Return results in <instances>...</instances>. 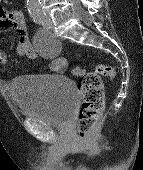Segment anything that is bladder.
Wrapping results in <instances>:
<instances>
[{
  "label": "bladder",
  "instance_id": "bladder-1",
  "mask_svg": "<svg viewBox=\"0 0 143 170\" xmlns=\"http://www.w3.org/2000/svg\"><path fill=\"white\" fill-rule=\"evenodd\" d=\"M9 88L24 115L50 124L69 121L78 100L74 83L58 74L21 75L11 80Z\"/></svg>",
  "mask_w": 143,
  "mask_h": 170
}]
</instances>
